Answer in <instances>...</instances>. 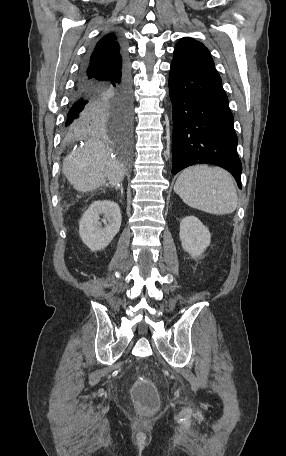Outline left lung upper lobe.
Instances as JSON below:
<instances>
[{"label":"left lung upper lobe","instance_id":"1","mask_svg":"<svg viewBox=\"0 0 286 456\" xmlns=\"http://www.w3.org/2000/svg\"><path fill=\"white\" fill-rule=\"evenodd\" d=\"M173 54L172 61L207 71L220 78L208 49L201 42L182 38L177 42Z\"/></svg>","mask_w":286,"mask_h":456}]
</instances>
